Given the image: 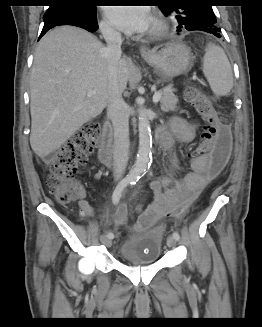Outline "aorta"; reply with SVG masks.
I'll list each match as a JSON object with an SVG mask.
<instances>
[{
    "label": "aorta",
    "instance_id": "obj_1",
    "mask_svg": "<svg viewBox=\"0 0 262 327\" xmlns=\"http://www.w3.org/2000/svg\"><path fill=\"white\" fill-rule=\"evenodd\" d=\"M140 103V99H138ZM138 131H139V148L137 153V158L134 166L129 172L131 178H138L141 174L146 172L150 166L151 161V150H152V136L150 122L144 112L139 115L138 121Z\"/></svg>",
    "mask_w": 262,
    "mask_h": 327
}]
</instances>
